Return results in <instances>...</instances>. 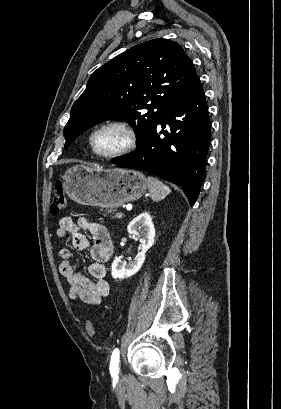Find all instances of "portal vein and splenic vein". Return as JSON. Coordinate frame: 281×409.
Instances as JSON below:
<instances>
[{
	"label": "portal vein and splenic vein",
	"mask_w": 281,
	"mask_h": 409,
	"mask_svg": "<svg viewBox=\"0 0 281 409\" xmlns=\"http://www.w3.org/2000/svg\"><path fill=\"white\" fill-rule=\"evenodd\" d=\"M116 216L118 217L119 220L123 219L124 213L123 212H117Z\"/></svg>",
	"instance_id": "18ae733b"
}]
</instances>
